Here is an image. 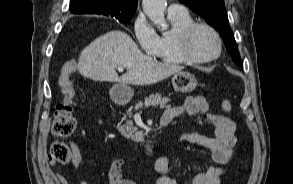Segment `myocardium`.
Returning <instances> with one entry per match:
<instances>
[{"label": "myocardium", "instance_id": "myocardium-1", "mask_svg": "<svg viewBox=\"0 0 293 184\" xmlns=\"http://www.w3.org/2000/svg\"><path fill=\"white\" fill-rule=\"evenodd\" d=\"M198 28H206L208 29L216 38L217 41V52L210 57L207 58H198L195 57L191 51H190V40L193 35V33L198 29ZM177 50L180 56L189 63L193 64H205V63H210L215 60H217L223 50V42L222 38L219 34V32L210 24L206 22H193L190 25L186 26L183 28L178 36H177Z\"/></svg>", "mask_w": 293, "mask_h": 184}]
</instances>
